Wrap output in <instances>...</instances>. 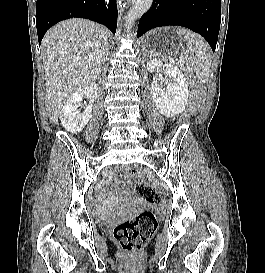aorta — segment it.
<instances>
[{
    "label": "aorta",
    "mask_w": 265,
    "mask_h": 273,
    "mask_svg": "<svg viewBox=\"0 0 265 273\" xmlns=\"http://www.w3.org/2000/svg\"><path fill=\"white\" fill-rule=\"evenodd\" d=\"M152 3L153 0H136L125 19V31L129 32L131 30L134 22L150 9Z\"/></svg>",
    "instance_id": "1"
}]
</instances>
